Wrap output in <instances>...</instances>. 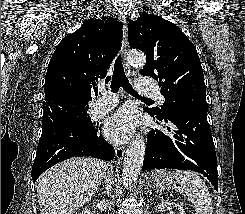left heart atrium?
I'll use <instances>...</instances> for the list:
<instances>
[{"label":"left heart atrium","instance_id":"left-heart-atrium-1","mask_svg":"<svg viewBox=\"0 0 245 214\" xmlns=\"http://www.w3.org/2000/svg\"><path fill=\"white\" fill-rule=\"evenodd\" d=\"M135 128V115L128 108H122L112 115L105 123L106 137L115 142H125Z\"/></svg>","mask_w":245,"mask_h":214}]
</instances>
